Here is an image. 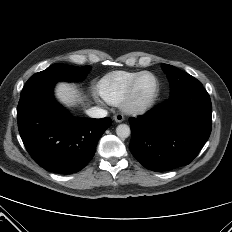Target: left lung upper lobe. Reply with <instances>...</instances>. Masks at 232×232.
<instances>
[{
	"label": "left lung upper lobe",
	"mask_w": 232,
	"mask_h": 232,
	"mask_svg": "<svg viewBox=\"0 0 232 232\" xmlns=\"http://www.w3.org/2000/svg\"><path fill=\"white\" fill-rule=\"evenodd\" d=\"M162 67L170 81L171 96L187 88L202 85L196 78L174 66L163 64Z\"/></svg>",
	"instance_id": "left-lung-upper-lobe-1"
}]
</instances>
